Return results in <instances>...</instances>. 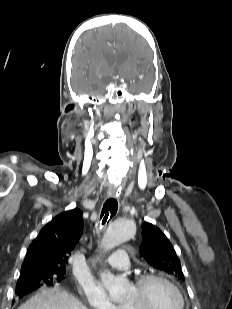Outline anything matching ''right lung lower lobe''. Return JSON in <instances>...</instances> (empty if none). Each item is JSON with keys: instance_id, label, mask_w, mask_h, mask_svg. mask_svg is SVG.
<instances>
[{"instance_id": "right-lung-lower-lobe-1", "label": "right lung lower lobe", "mask_w": 232, "mask_h": 309, "mask_svg": "<svg viewBox=\"0 0 232 309\" xmlns=\"http://www.w3.org/2000/svg\"><path fill=\"white\" fill-rule=\"evenodd\" d=\"M37 288H38V286L26 285V286H22V287H17L15 292H16V295L18 297H23V296L31 293L32 291H34Z\"/></svg>"}]
</instances>
